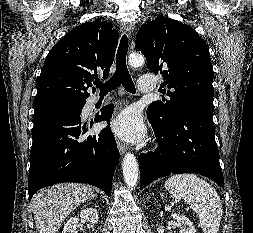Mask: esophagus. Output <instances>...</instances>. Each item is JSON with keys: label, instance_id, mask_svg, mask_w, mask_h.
<instances>
[{"label": "esophagus", "instance_id": "esophagus-1", "mask_svg": "<svg viewBox=\"0 0 253 233\" xmlns=\"http://www.w3.org/2000/svg\"><path fill=\"white\" fill-rule=\"evenodd\" d=\"M134 31L133 24H126L122 27V33L126 34L128 37H131ZM117 147L121 155L125 154L127 147L120 140H117Z\"/></svg>", "mask_w": 253, "mask_h": 233}]
</instances>
